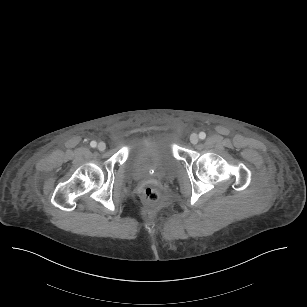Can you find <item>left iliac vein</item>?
<instances>
[{
  "label": "left iliac vein",
  "instance_id": "obj_1",
  "mask_svg": "<svg viewBox=\"0 0 307 307\" xmlns=\"http://www.w3.org/2000/svg\"><path fill=\"white\" fill-rule=\"evenodd\" d=\"M198 141H199V138H198V136H197L196 134H192V135L190 136V142H191L192 144H197Z\"/></svg>",
  "mask_w": 307,
  "mask_h": 307
}]
</instances>
